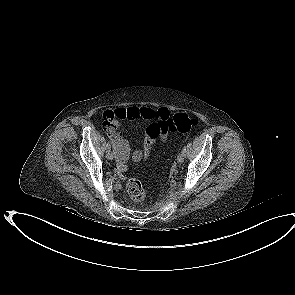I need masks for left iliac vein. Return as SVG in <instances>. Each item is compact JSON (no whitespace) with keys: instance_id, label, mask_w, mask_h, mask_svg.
Wrapping results in <instances>:
<instances>
[{"instance_id":"left-iliac-vein-1","label":"left iliac vein","mask_w":295,"mask_h":295,"mask_svg":"<svg viewBox=\"0 0 295 295\" xmlns=\"http://www.w3.org/2000/svg\"><path fill=\"white\" fill-rule=\"evenodd\" d=\"M185 155L181 152L177 157V162L179 164L183 163Z\"/></svg>"}]
</instances>
